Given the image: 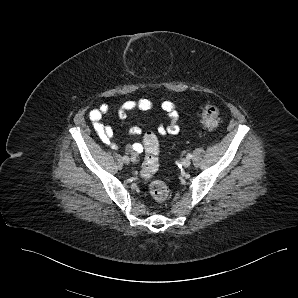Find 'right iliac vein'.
I'll return each instance as SVG.
<instances>
[{
    "instance_id": "1",
    "label": "right iliac vein",
    "mask_w": 298,
    "mask_h": 298,
    "mask_svg": "<svg viewBox=\"0 0 298 298\" xmlns=\"http://www.w3.org/2000/svg\"><path fill=\"white\" fill-rule=\"evenodd\" d=\"M122 159L125 164H128L130 162V158L128 156H124Z\"/></svg>"
}]
</instances>
